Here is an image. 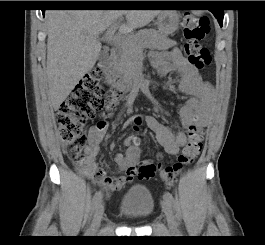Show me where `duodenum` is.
Returning a JSON list of instances; mask_svg holds the SVG:
<instances>
[{"label":"duodenum","instance_id":"obj_1","mask_svg":"<svg viewBox=\"0 0 265 245\" xmlns=\"http://www.w3.org/2000/svg\"><path fill=\"white\" fill-rule=\"evenodd\" d=\"M115 59L116 54L110 52L102 62L103 76L106 84L115 91L126 92L131 87L128 80L118 79L115 76Z\"/></svg>","mask_w":265,"mask_h":245}]
</instances>
